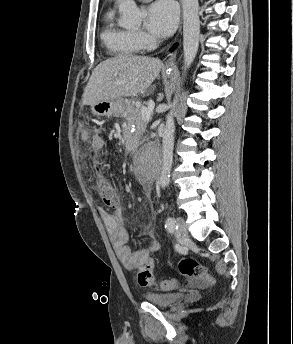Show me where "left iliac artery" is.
<instances>
[{"instance_id": "1", "label": "left iliac artery", "mask_w": 293, "mask_h": 344, "mask_svg": "<svg viewBox=\"0 0 293 344\" xmlns=\"http://www.w3.org/2000/svg\"><path fill=\"white\" fill-rule=\"evenodd\" d=\"M165 228L169 232H173L175 229L178 228V224H177L176 220L173 217H168L166 219Z\"/></svg>"}]
</instances>
